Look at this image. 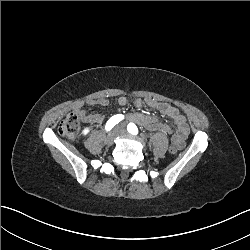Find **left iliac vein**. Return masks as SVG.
I'll use <instances>...</instances> for the list:
<instances>
[{
    "mask_svg": "<svg viewBox=\"0 0 250 250\" xmlns=\"http://www.w3.org/2000/svg\"><path fill=\"white\" fill-rule=\"evenodd\" d=\"M120 133H121V134H124V133H125L124 129H121V130H120ZM126 135L133 138V136L130 135V134H127V133H126Z\"/></svg>",
    "mask_w": 250,
    "mask_h": 250,
    "instance_id": "1",
    "label": "left iliac vein"
}]
</instances>
